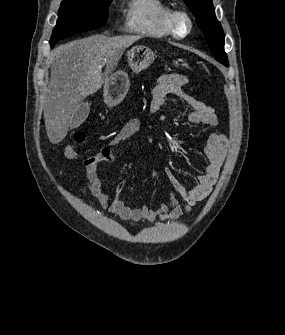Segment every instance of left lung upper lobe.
<instances>
[{"label": "left lung upper lobe", "mask_w": 285, "mask_h": 335, "mask_svg": "<svg viewBox=\"0 0 285 335\" xmlns=\"http://www.w3.org/2000/svg\"><path fill=\"white\" fill-rule=\"evenodd\" d=\"M188 5L196 22L208 42L215 59L225 66H229L227 55L224 51V38L222 26L215 16L212 0H184Z\"/></svg>", "instance_id": "obj_1"}]
</instances>
